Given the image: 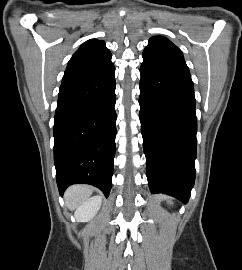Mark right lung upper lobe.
<instances>
[{"label":"right lung upper lobe","instance_id":"right-lung-upper-lobe-1","mask_svg":"<svg viewBox=\"0 0 242 270\" xmlns=\"http://www.w3.org/2000/svg\"><path fill=\"white\" fill-rule=\"evenodd\" d=\"M111 53L104 41L90 39L83 43L68 62L62 85L75 81L105 65Z\"/></svg>","mask_w":242,"mask_h":270}]
</instances>
